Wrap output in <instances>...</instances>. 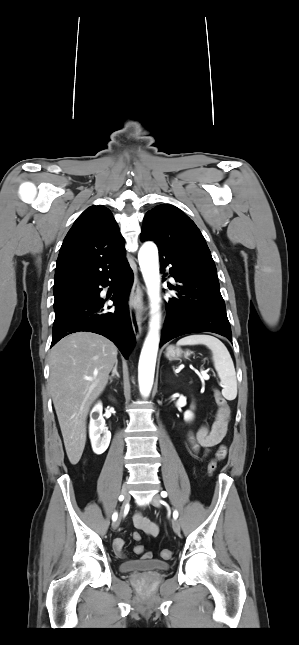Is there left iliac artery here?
I'll return each mask as SVG.
<instances>
[{
    "mask_svg": "<svg viewBox=\"0 0 299 645\" xmlns=\"http://www.w3.org/2000/svg\"><path fill=\"white\" fill-rule=\"evenodd\" d=\"M161 496H162L163 498L167 497V492L162 491V492H161ZM173 517H174L175 519L178 517V512H177L176 510L173 512Z\"/></svg>",
    "mask_w": 299,
    "mask_h": 645,
    "instance_id": "1",
    "label": "left iliac artery"
}]
</instances>
